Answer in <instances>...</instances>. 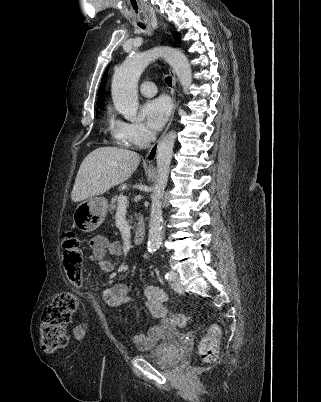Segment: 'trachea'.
I'll return each instance as SVG.
<instances>
[{"label":"trachea","mask_w":321,"mask_h":402,"mask_svg":"<svg viewBox=\"0 0 321 402\" xmlns=\"http://www.w3.org/2000/svg\"><path fill=\"white\" fill-rule=\"evenodd\" d=\"M138 26H139L140 28H142V29H145V28H146V26H145L144 24H139ZM165 82H166V84H167L168 86H171V85H172V78H171L170 76L166 77V78H165Z\"/></svg>","instance_id":"3493384b"}]
</instances>
